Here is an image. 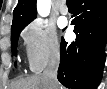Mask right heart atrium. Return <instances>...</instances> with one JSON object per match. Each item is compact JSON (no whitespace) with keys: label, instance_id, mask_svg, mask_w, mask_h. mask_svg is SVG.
Instances as JSON below:
<instances>
[{"label":"right heart atrium","instance_id":"right-heart-atrium-1","mask_svg":"<svg viewBox=\"0 0 107 89\" xmlns=\"http://www.w3.org/2000/svg\"><path fill=\"white\" fill-rule=\"evenodd\" d=\"M29 67L40 72L60 53V43L56 30L46 22L36 20L28 24L22 32Z\"/></svg>","mask_w":107,"mask_h":89}]
</instances>
